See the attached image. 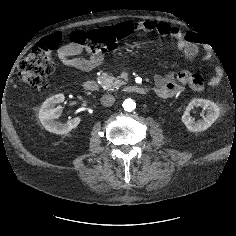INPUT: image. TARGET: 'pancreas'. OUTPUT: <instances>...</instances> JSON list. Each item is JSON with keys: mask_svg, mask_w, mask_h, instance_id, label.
<instances>
[{"mask_svg": "<svg viewBox=\"0 0 236 236\" xmlns=\"http://www.w3.org/2000/svg\"><path fill=\"white\" fill-rule=\"evenodd\" d=\"M99 80L105 89H110L112 87L118 88L121 85L125 84L124 81L116 77H113L111 74H108L106 72L101 74V76L99 77Z\"/></svg>", "mask_w": 236, "mask_h": 236, "instance_id": "pancreas-1", "label": "pancreas"}]
</instances>
